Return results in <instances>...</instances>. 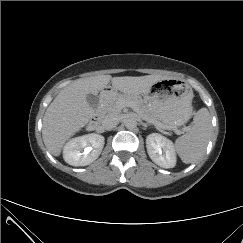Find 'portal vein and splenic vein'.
<instances>
[{"label":"portal vein and splenic vein","mask_w":243,"mask_h":243,"mask_svg":"<svg viewBox=\"0 0 243 243\" xmlns=\"http://www.w3.org/2000/svg\"><path fill=\"white\" fill-rule=\"evenodd\" d=\"M149 123H152V124H154V125H157L159 128H161V124H159V123H157V122H155V121H153V120H151V119H146Z\"/></svg>","instance_id":"1"}]
</instances>
